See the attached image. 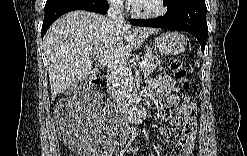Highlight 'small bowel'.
Segmentation results:
<instances>
[{"label":"small bowel","instance_id":"small-bowel-1","mask_svg":"<svg viewBox=\"0 0 247 156\" xmlns=\"http://www.w3.org/2000/svg\"><path fill=\"white\" fill-rule=\"evenodd\" d=\"M147 94L165 102L160 110L161 119L180 128L178 154L191 155L196 134V104L190 102L184 94H180L176 82L166 74H160L150 82ZM170 108L176 111V115H171ZM151 132L157 137L169 136L168 130L162 126L153 127Z\"/></svg>","mask_w":247,"mask_h":156}]
</instances>
